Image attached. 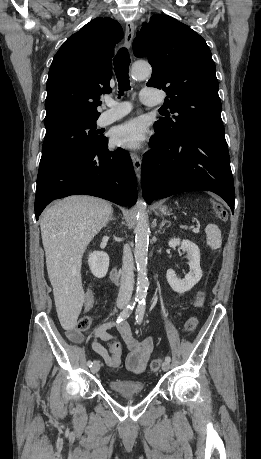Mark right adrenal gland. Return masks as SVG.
I'll return each mask as SVG.
<instances>
[{"label": "right adrenal gland", "instance_id": "obj_1", "mask_svg": "<svg viewBox=\"0 0 261 459\" xmlns=\"http://www.w3.org/2000/svg\"><path fill=\"white\" fill-rule=\"evenodd\" d=\"M110 221H115V218H113V213L110 215V218H109L107 224H108Z\"/></svg>", "mask_w": 261, "mask_h": 459}]
</instances>
